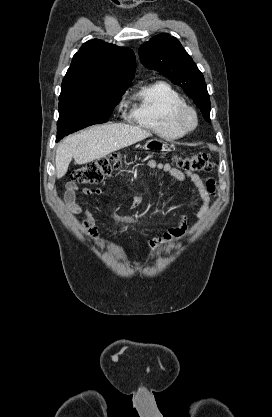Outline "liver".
Returning <instances> with one entry per match:
<instances>
[{"instance_id":"1","label":"liver","mask_w":272,"mask_h":417,"mask_svg":"<svg viewBox=\"0 0 272 417\" xmlns=\"http://www.w3.org/2000/svg\"><path fill=\"white\" fill-rule=\"evenodd\" d=\"M151 136L140 127L126 124L96 125L69 136L60 142L56 149V177L62 178L74 158L79 165L135 144Z\"/></svg>"}]
</instances>
